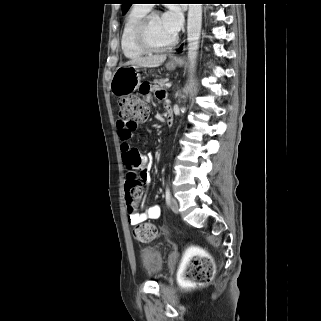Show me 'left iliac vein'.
I'll return each mask as SVG.
<instances>
[{"label": "left iliac vein", "instance_id": "obj_1", "mask_svg": "<svg viewBox=\"0 0 321 321\" xmlns=\"http://www.w3.org/2000/svg\"><path fill=\"white\" fill-rule=\"evenodd\" d=\"M170 208L174 213H178L179 211V204L175 198L170 199Z\"/></svg>", "mask_w": 321, "mask_h": 321}]
</instances>
